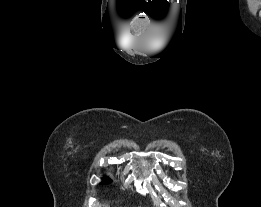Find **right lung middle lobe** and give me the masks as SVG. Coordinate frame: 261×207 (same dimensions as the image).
I'll return each mask as SVG.
<instances>
[{
	"instance_id": "dd1d6c3e",
	"label": "right lung middle lobe",
	"mask_w": 261,
	"mask_h": 207,
	"mask_svg": "<svg viewBox=\"0 0 261 207\" xmlns=\"http://www.w3.org/2000/svg\"><path fill=\"white\" fill-rule=\"evenodd\" d=\"M110 182H111V180L109 178H107V177L104 178V181H103L104 184H108Z\"/></svg>"
}]
</instances>
